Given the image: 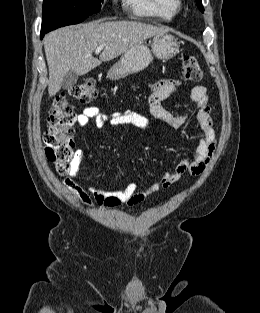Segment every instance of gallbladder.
Segmentation results:
<instances>
[{
	"instance_id": "gallbladder-1",
	"label": "gallbladder",
	"mask_w": 260,
	"mask_h": 313,
	"mask_svg": "<svg viewBox=\"0 0 260 313\" xmlns=\"http://www.w3.org/2000/svg\"><path fill=\"white\" fill-rule=\"evenodd\" d=\"M78 74L74 71H69L63 78L62 88L69 90L77 83Z\"/></svg>"
}]
</instances>
